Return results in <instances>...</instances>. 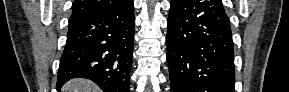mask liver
Segmentation results:
<instances>
[{
	"instance_id": "6515ba94",
	"label": "liver",
	"mask_w": 289,
	"mask_h": 92,
	"mask_svg": "<svg viewBox=\"0 0 289 92\" xmlns=\"http://www.w3.org/2000/svg\"><path fill=\"white\" fill-rule=\"evenodd\" d=\"M99 88L89 80L72 79L62 88L63 92H99Z\"/></svg>"
}]
</instances>
